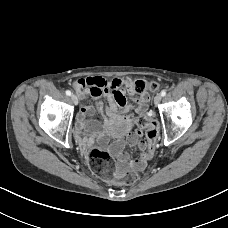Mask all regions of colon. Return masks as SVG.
Here are the masks:
<instances>
[{
    "instance_id": "5ec220e1",
    "label": "colon",
    "mask_w": 228,
    "mask_h": 228,
    "mask_svg": "<svg viewBox=\"0 0 228 228\" xmlns=\"http://www.w3.org/2000/svg\"><path fill=\"white\" fill-rule=\"evenodd\" d=\"M135 90L138 94H147L157 90L155 82L137 80L134 82ZM140 127L146 128V149L144 159L152 157L156 142L159 137V127L157 122L151 117L142 116L137 119ZM88 165L90 170L101 179L120 185H132L138 180V174L134 170H129L123 174L117 172L116 163L110 153L102 148L94 147L88 155Z\"/></svg>"
}]
</instances>
